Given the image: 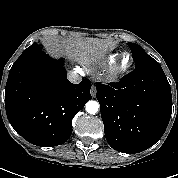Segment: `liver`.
Wrapping results in <instances>:
<instances>
[{"instance_id":"1","label":"liver","mask_w":178,"mask_h":178,"mask_svg":"<svg viewBox=\"0 0 178 178\" xmlns=\"http://www.w3.org/2000/svg\"><path fill=\"white\" fill-rule=\"evenodd\" d=\"M112 46L113 43L110 41L96 38L68 39L51 45L56 52L67 55L69 58L75 57L84 64L102 57Z\"/></svg>"}]
</instances>
